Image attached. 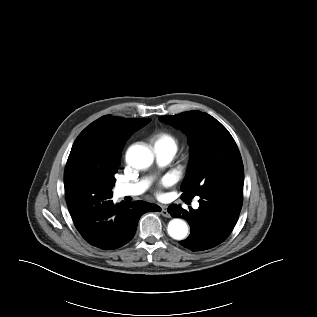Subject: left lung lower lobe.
Returning <instances> with one entry per match:
<instances>
[{
  "instance_id": "1",
  "label": "left lung lower lobe",
  "mask_w": 317,
  "mask_h": 317,
  "mask_svg": "<svg viewBox=\"0 0 317 317\" xmlns=\"http://www.w3.org/2000/svg\"><path fill=\"white\" fill-rule=\"evenodd\" d=\"M199 208L189 211L172 204L168 212L172 217L186 219L190 235L179 243L191 251H203L222 243L237 223L243 202L239 190L215 189L199 196Z\"/></svg>"
}]
</instances>
